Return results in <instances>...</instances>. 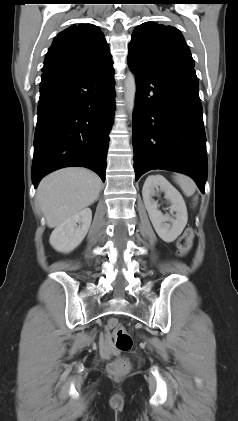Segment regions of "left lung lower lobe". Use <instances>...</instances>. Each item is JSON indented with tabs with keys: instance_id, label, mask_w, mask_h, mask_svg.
Masks as SVG:
<instances>
[{
	"instance_id": "1",
	"label": "left lung lower lobe",
	"mask_w": 238,
	"mask_h": 421,
	"mask_svg": "<svg viewBox=\"0 0 238 421\" xmlns=\"http://www.w3.org/2000/svg\"><path fill=\"white\" fill-rule=\"evenodd\" d=\"M137 92L133 113L135 180L163 169L191 176L204 193L206 138L194 67L152 70L128 58Z\"/></svg>"
}]
</instances>
